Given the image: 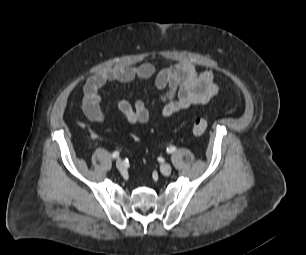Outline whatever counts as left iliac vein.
Wrapping results in <instances>:
<instances>
[{
	"label": "left iliac vein",
	"mask_w": 306,
	"mask_h": 255,
	"mask_svg": "<svg viewBox=\"0 0 306 255\" xmlns=\"http://www.w3.org/2000/svg\"><path fill=\"white\" fill-rule=\"evenodd\" d=\"M160 171L164 175H169L172 171V166L168 163H164L160 166Z\"/></svg>",
	"instance_id": "obj_1"
}]
</instances>
